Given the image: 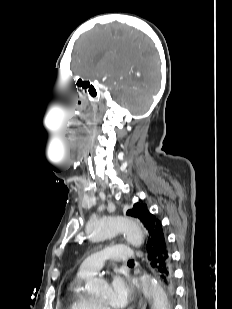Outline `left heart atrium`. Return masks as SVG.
Returning <instances> with one entry per match:
<instances>
[{"label": "left heart atrium", "instance_id": "obj_1", "mask_svg": "<svg viewBox=\"0 0 232 309\" xmlns=\"http://www.w3.org/2000/svg\"><path fill=\"white\" fill-rule=\"evenodd\" d=\"M110 304L115 309L126 308L134 297L131 285L121 276L114 275L110 283Z\"/></svg>", "mask_w": 232, "mask_h": 309}]
</instances>
